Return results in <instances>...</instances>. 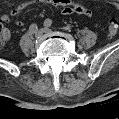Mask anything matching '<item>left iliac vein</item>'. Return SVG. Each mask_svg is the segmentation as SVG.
Masks as SVG:
<instances>
[{
	"mask_svg": "<svg viewBox=\"0 0 119 119\" xmlns=\"http://www.w3.org/2000/svg\"><path fill=\"white\" fill-rule=\"evenodd\" d=\"M42 30H43L44 33H50V32H52V30L50 28H48V27H45Z\"/></svg>",
	"mask_w": 119,
	"mask_h": 119,
	"instance_id": "left-iliac-vein-1",
	"label": "left iliac vein"
}]
</instances>
